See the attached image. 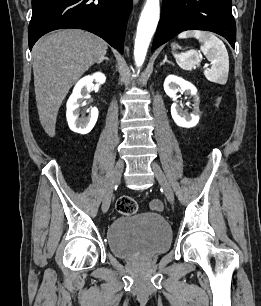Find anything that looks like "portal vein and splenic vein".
<instances>
[{
    "mask_svg": "<svg viewBox=\"0 0 261 306\" xmlns=\"http://www.w3.org/2000/svg\"><path fill=\"white\" fill-rule=\"evenodd\" d=\"M208 67H209V64H205V65H204V68H208Z\"/></svg>",
    "mask_w": 261,
    "mask_h": 306,
    "instance_id": "18ae733b",
    "label": "portal vein and splenic vein"
}]
</instances>
